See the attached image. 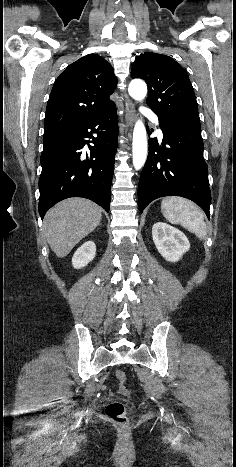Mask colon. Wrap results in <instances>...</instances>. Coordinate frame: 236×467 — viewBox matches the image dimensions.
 <instances>
[{"label":"colon","mask_w":236,"mask_h":467,"mask_svg":"<svg viewBox=\"0 0 236 467\" xmlns=\"http://www.w3.org/2000/svg\"><path fill=\"white\" fill-rule=\"evenodd\" d=\"M116 378L120 386L124 388L126 382V375L123 371L117 370L115 372ZM106 416L114 423L127 428L129 426V419L126 415V406L121 401L111 402L105 408Z\"/></svg>","instance_id":"colon-1"}]
</instances>
